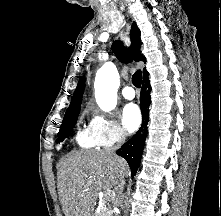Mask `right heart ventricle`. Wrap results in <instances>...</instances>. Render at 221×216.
<instances>
[{
  "instance_id": "e07e8e85",
  "label": "right heart ventricle",
  "mask_w": 221,
  "mask_h": 216,
  "mask_svg": "<svg viewBox=\"0 0 221 216\" xmlns=\"http://www.w3.org/2000/svg\"><path fill=\"white\" fill-rule=\"evenodd\" d=\"M76 142L77 144L82 148H92L97 146L94 142L90 130L87 129H81L76 134Z\"/></svg>"
}]
</instances>
